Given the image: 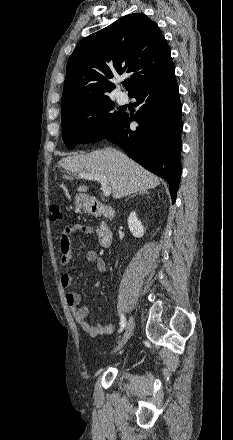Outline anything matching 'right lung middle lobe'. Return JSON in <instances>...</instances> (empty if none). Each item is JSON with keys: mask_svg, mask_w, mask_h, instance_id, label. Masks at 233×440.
<instances>
[{"mask_svg": "<svg viewBox=\"0 0 233 440\" xmlns=\"http://www.w3.org/2000/svg\"><path fill=\"white\" fill-rule=\"evenodd\" d=\"M109 97L97 98L62 108V135L68 149L77 143L103 140L121 122L124 112L114 111Z\"/></svg>", "mask_w": 233, "mask_h": 440, "instance_id": "dd1d6c3e", "label": "right lung middle lobe"}]
</instances>
